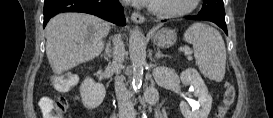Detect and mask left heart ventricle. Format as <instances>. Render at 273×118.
<instances>
[{"label":"left heart ventricle","mask_w":273,"mask_h":118,"mask_svg":"<svg viewBox=\"0 0 273 118\" xmlns=\"http://www.w3.org/2000/svg\"><path fill=\"white\" fill-rule=\"evenodd\" d=\"M190 0H156L153 5L161 11L181 10L186 8Z\"/></svg>","instance_id":"obj_1"}]
</instances>
